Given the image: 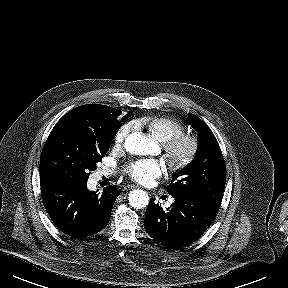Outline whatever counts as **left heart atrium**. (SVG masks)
Segmentation results:
<instances>
[{
  "label": "left heart atrium",
  "mask_w": 288,
  "mask_h": 288,
  "mask_svg": "<svg viewBox=\"0 0 288 288\" xmlns=\"http://www.w3.org/2000/svg\"><path fill=\"white\" fill-rule=\"evenodd\" d=\"M163 173V165L156 159H145L131 163L126 174L134 181L149 185Z\"/></svg>",
  "instance_id": "left-heart-atrium-1"
}]
</instances>
